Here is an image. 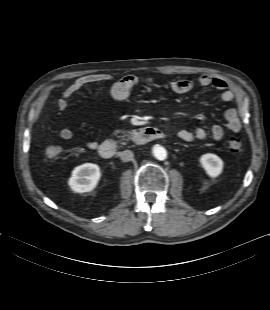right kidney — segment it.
I'll use <instances>...</instances> for the list:
<instances>
[{
    "mask_svg": "<svg viewBox=\"0 0 270 310\" xmlns=\"http://www.w3.org/2000/svg\"><path fill=\"white\" fill-rule=\"evenodd\" d=\"M100 177L101 171L98 165L85 163L72 171L68 184L73 191L86 193L92 191L97 186Z\"/></svg>",
    "mask_w": 270,
    "mask_h": 310,
    "instance_id": "1",
    "label": "right kidney"
}]
</instances>
